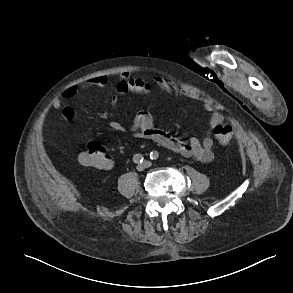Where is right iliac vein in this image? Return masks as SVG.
Here are the masks:
<instances>
[{
    "mask_svg": "<svg viewBox=\"0 0 293 293\" xmlns=\"http://www.w3.org/2000/svg\"><path fill=\"white\" fill-rule=\"evenodd\" d=\"M145 165H144V163L143 164H140V165H138L137 166V169L139 170V171H143L144 169H145Z\"/></svg>",
    "mask_w": 293,
    "mask_h": 293,
    "instance_id": "right-iliac-vein-1",
    "label": "right iliac vein"
}]
</instances>
